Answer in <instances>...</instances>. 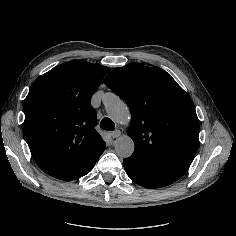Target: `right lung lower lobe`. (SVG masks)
Returning <instances> with one entry per match:
<instances>
[{
  "instance_id": "1",
  "label": "right lung lower lobe",
  "mask_w": 236,
  "mask_h": 236,
  "mask_svg": "<svg viewBox=\"0 0 236 236\" xmlns=\"http://www.w3.org/2000/svg\"><path fill=\"white\" fill-rule=\"evenodd\" d=\"M98 158H99V157H98ZM98 158L95 159L93 162H91L88 166H86V167L84 168V170H83L82 172H80V173L77 175V177H76L75 179H78V178H80V177H82V176L88 174V173L91 171V169L94 167V165H95V163L97 162ZM73 180H74V179H73Z\"/></svg>"
}]
</instances>
